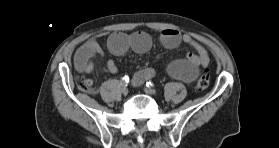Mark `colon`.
<instances>
[{"label": "colon", "instance_id": "obj_1", "mask_svg": "<svg viewBox=\"0 0 279 148\" xmlns=\"http://www.w3.org/2000/svg\"><path fill=\"white\" fill-rule=\"evenodd\" d=\"M76 84L78 88L85 92H93L92 82L83 76L76 77ZM209 87V72L204 69L195 83V90L202 92Z\"/></svg>", "mask_w": 279, "mask_h": 148}]
</instances>
